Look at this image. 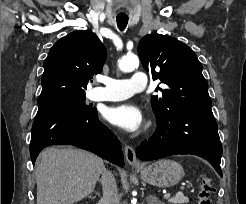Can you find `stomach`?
I'll use <instances>...</instances> for the list:
<instances>
[{
    "instance_id": "obj_1",
    "label": "stomach",
    "mask_w": 246,
    "mask_h": 204,
    "mask_svg": "<svg viewBox=\"0 0 246 204\" xmlns=\"http://www.w3.org/2000/svg\"><path fill=\"white\" fill-rule=\"evenodd\" d=\"M139 172L145 183L162 188L176 185L184 176L182 165L170 159L156 161Z\"/></svg>"
}]
</instances>
